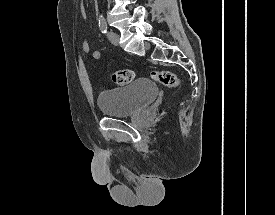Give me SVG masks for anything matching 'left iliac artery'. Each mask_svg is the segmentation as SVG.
Here are the masks:
<instances>
[{
	"mask_svg": "<svg viewBox=\"0 0 275 215\" xmlns=\"http://www.w3.org/2000/svg\"><path fill=\"white\" fill-rule=\"evenodd\" d=\"M99 28L102 33L105 34L107 32V24L102 14L99 16Z\"/></svg>",
	"mask_w": 275,
	"mask_h": 215,
	"instance_id": "1",
	"label": "left iliac artery"
}]
</instances>
